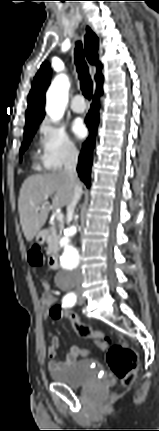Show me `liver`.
<instances>
[{
	"instance_id": "obj_1",
	"label": "liver",
	"mask_w": 159,
	"mask_h": 431,
	"mask_svg": "<svg viewBox=\"0 0 159 431\" xmlns=\"http://www.w3.org/2000/svg\"><path fill=\"white\" fill-rule=\"evenodd\" d=\"M76 184L77 181L71 180L63 172L31 175L24 181L20 189L18 211L28 242L39 234L48 218L50 207L44 203L45 198L54 195L53 209L68 206L73 199Z\"/></svg>"
}]
</instances>
